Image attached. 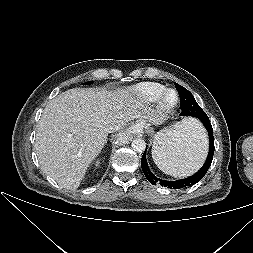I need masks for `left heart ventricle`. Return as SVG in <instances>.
Wrapping results in <instances>:
<instances>
[{
  "label": "left heart ventricle",
  "instance_id": "1",
  "mask_svg": "<svg viewBox=\"0 0 253 253\" xmlns=\"http://www.w3.org/2000/svg\"><path fill=\"white\" fill-rule=\"evenodd\" d=\"M174 98H175L174 93H170V94L168 95V97H167L168 101H173Z\"/></svg>",
  "mask_w": 253,
  "mask_h": 253
}]
</instances>
